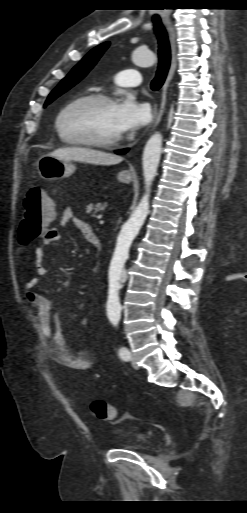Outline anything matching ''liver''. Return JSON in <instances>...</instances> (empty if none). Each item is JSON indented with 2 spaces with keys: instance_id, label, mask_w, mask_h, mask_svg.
I'll return each instance as SVG.
<instances>
[{
  "instance_id": "obj_1",
  "label": "liver",
  "mask_w": 247,
  "mask_h": 513,
  "mask_svg": "<svg viewBox=\"0 0 247 513\" xmlns=\"http://www.w3.org/2000/svg\"><path fill=\"white\" fill-rule=\"evenodd\" d=\"M49 155L65 161L76 160L95 165H113L123 159L115 154L85 147H65L54 150Z\"/></svg>"
}]
</instances>
